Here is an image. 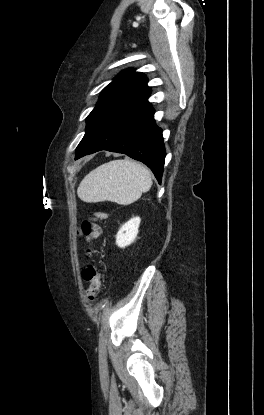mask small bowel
Returning <instances> with one entry per match:
<instances>
[{
    "mask_svg": "<svg viewBox=\"0 0 264 415\" xmlns=\"http://www.w3.org/2000/svg\"><path fill=\"white\" fill-rule=\"evenodd\" d=\"M101 234V228L97 225L93 226L92 232L89 236L86 237L87 241H90L93 238H97Z\"/></svg>",
    "mask_w": 264,
    "mask_h": 415,
    "instance_id": "obj_1",
    "label": "small bowel"
}]
</instances>
